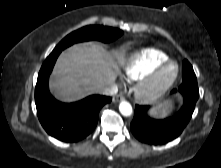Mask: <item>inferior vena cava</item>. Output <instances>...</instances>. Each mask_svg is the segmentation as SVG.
Masks as SVG:
<instances>
[{
  "mask_svg": "<svg viewBox=\"0 0 221 168\" xmlns=\"http://www.w3.org/2000/svg\"><path fill=\"white\" fill-rule=\"evenodd\" d=\"M117 92L118 88L117 85L114 83H111L100 90V93L106 96H113L117 94Z\"/></svg>",
  "mask_w": 221,
  "mask_h": 168,
  "instance_id": "inferior-vena-cava-1",
  "label": "inferior vena cava"
}]
</instances>
